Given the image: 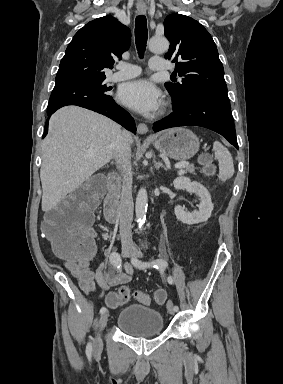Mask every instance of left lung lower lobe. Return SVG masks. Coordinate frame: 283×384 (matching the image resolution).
<instances>
[{
    "instance_id": "0a47b994",
    "label": "left lung lower lobe",
    "mask_w": 283,
    "mask_h": 384,
    "mask_svg": "<svg viewBox=\"0 0 283 384\" xmlns=\"http://www.w3.org/2000/svg\"><path fill=\"white\" fill-rule=\"evenodd\" d=\"M202 126L224 136L238 149L236 132L227 94L195 96L186 103H174L173 112L155 122V132L179 126Z\"/></svg>"
}]
</instances>
